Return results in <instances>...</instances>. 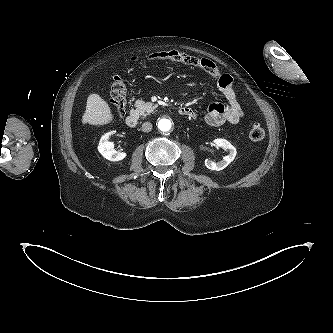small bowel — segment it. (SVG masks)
<instances>
[{"mask_svg": "<svg viewBox=\"0 0 333 333\" xmlns=\"http://www.w3.org/2000/svg\"><path fill=\"white\" fill-rule=\"evenodd\" d=\"M194 84L195 83H191V85ZM218 87L222 91L227 101V104H210L205 115V122L210 126H220L226 122L232 124L238 123L243 118L244 112L234 92L231 77L224 74L220 78H218ZM184 108L185 111L183 115L191 118L196 117V113L192 109L188 107Z\"/></svg>", "mask_w": 333, "mask_h": 333, "instance_id": "obj_1", "label": "small bowel"}]
</instances>
